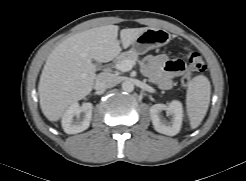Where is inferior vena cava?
<instances>
[{
	"label": "inferior vena cava",
	"mask_w": 246,
	"mask_h": 181,
	"mask_svg": "<svg viewBox=\"0 0 246 181\" xmlns=\"http://www.w3.org/2000/svg\"><path fill=\"white\" fill-rule=\"evenodd\" d=\"M116 85V78L110 73H101L96 77L94 89L102 91Z\"/></svg>",
	"instance_id": "inferior-vena-cava-1"
}]
</instances>
